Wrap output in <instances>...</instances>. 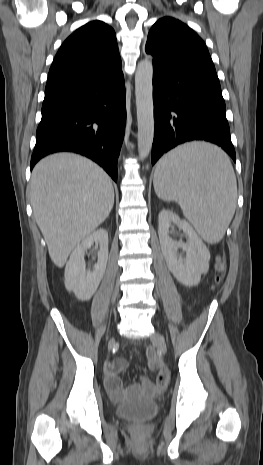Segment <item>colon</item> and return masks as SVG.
Returning <instances> with one entry per match:
<instances>
[{
	"instance_id": "colon-1",
	"label": "colon",
	"mask_w": 263,
	"mask_h": 465,
	"mask_svg": "<svg viewBox=\"0 0 263 465\" xmlns=\"http://www.w3.org/2000/svg\"><path fill=\"white\" fill-rule=\"evenodd\" d=\"M216 268H217L218 273L222 274V272L224 271V262H223L222 259H220V258L218 259ZM218 279H219V277H218Z\"/></svg>"
}]
</instances>
